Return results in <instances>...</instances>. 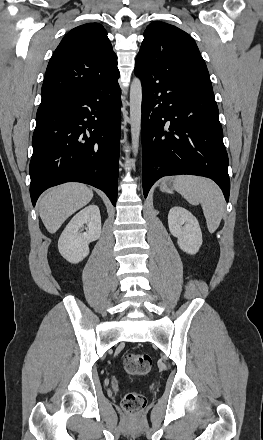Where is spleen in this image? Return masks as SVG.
Returning <instances> with one entry per match:
<instances>
[{"mask_svg": "<svg viewBox=\"0 0 263 440\" xmlns=\"http://www.w3.org/2000/svg\"><path fill=\"white\" fill-rule=\"evenodd\" d=\"M174 189L190 204H201L208 230L214 233L220 225L225 208L221 189L210 179L194 175L176 176Z\"/></svg>", "mask_w": 263, "mask_h": 440, "instance_id": "spleen-1", "label": "spleen"}]
</instances>
